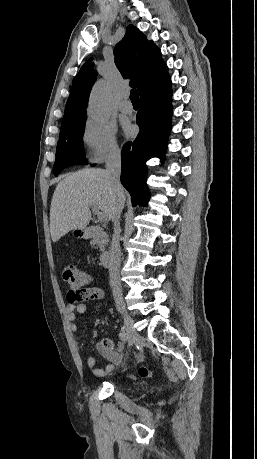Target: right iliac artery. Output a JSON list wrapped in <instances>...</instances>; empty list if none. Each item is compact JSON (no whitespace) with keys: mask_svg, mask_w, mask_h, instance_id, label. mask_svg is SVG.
<instances>
[{"mask_svg":"<svg viewBox=\"0 0 257 459\" xmlns=\"http://www.w3.org/2000/svg\"><path fill=\"white\" fill-rule=\"evenodd\" d=\"M119 338H120L123 342H126V341L129 340V336H128V334H127L124 330H122V331L120 332Z\"/></svg>","mask_w":257,"mask_h":459,"instance_id":"right-iliac-artery-1","label":"right iliac artery"}]
</instances>
